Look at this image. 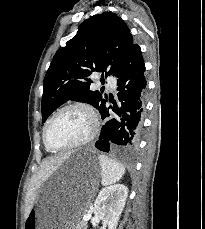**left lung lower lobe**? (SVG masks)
Returning a JSON list of instances; mask_svg holds the SVG:
<instances>
[{
  "label": "left lung lower lobe",
  "mask_w": 205,
  "mask_h": 229,
  "mask_svg": "<svg viewBox=\"0 0 205 229\" xmlns=\"http://www.w3.org/2000/svg\"><path fill=\"white\" fill-rule=\"evenodd\" d=\"M144 73L141 49L133 44L114 73L118 81V98L121 104L117 106L113 102L114 107H109L115 112L113 116L109 115L107 108L100 112L102 119L108 120L95 144L99 150H111L124 157H131L137 151L145 109L147 82Z\"/></svg>",
  "instance_id": "1"
}]
</instances>
